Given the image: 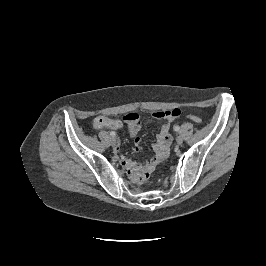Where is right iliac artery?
Listing matches in <instances>:
<instances>
[{
  "mask_svg": "<svg viewBox=\"0 0 266 266\" xmlns=\"http://www.w3.org/2000/svg\"><path fill=\"white\" fill-rule=\"evenodd\" d=\"M110 135H111L112 137H115V136H116V133H115L114 131H112V132H110Z\"/></svg>",
  "mask_w": 266,
  "mask_h": 266,
  "instance_id": "82829eb1",
  "label": "right iliac artery"
}]
</instances>
